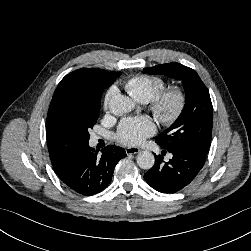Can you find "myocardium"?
<instances>
[{
	"instance_id": "f54148a6",
	"label": "myocardium",
	"mask_w": 251,
	"mask_h": 251,
	"mask_svg": "<svg viewBox=\"0 0 251 251\" xmlns=\"http://www.w3.org/2000/svg\"><path fill=\"white\" fill-rule=\"evenodd\" d=\"M185 105V91L179 86H172L153 98L150 110L160 123L172 125L183 113Z\"/></svg>"
}]
</instances>
